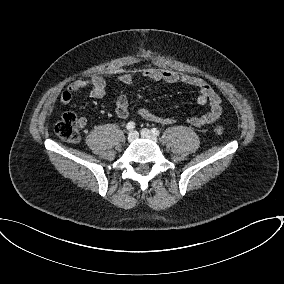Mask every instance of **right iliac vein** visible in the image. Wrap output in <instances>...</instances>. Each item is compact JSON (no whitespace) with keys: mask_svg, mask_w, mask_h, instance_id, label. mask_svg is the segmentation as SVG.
<instances>
[{"mask_svg":"<svg viewBox=\"0 0 284 284\" xmlns=\"http://www.w3.org/2000/svg\"><path fill=\"white\" fill-rule=\"evenodd\" d=\"M138 138V133L136 131H131L128 134L127 140L128 142H133Z\"/></svg>","mask_w":284,"mask_h":284,"instance_id":"63e3f726","label":"right iliac vein"}]
</instances>
